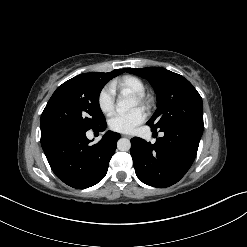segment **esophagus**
Masks as SVG:
<instances>
[{"label":"esophagus","mask_w":247,"mask_h":247,"mask_svg":"<svg viewBox=\"0 0 247 247\" xmlns=\"http://www.w3.org/2000/svg\"><path fill=\"white\" fill-rule=\"evenodd\" d=\"M122 136H123V137H126V138H129V139L131 138L130 135H125V134H124V135H122Z\"/></svg>","instance_id":"34e87169"}]
</instances>
